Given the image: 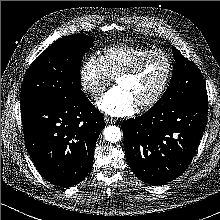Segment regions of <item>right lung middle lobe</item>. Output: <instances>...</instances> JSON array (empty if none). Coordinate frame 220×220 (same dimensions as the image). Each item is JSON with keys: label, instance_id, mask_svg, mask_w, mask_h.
I'll return each mask as SVG.
<instances>
[{"label": "right lung middle lobe", "instance_id": "1", "mask_svg": "<svg viewBox=\"0 0 220 220\" xmlns=\"http://www.w3.org/2000/svg\"><path fill=\"white\" fill-rule=\"evenodd\" d=\"M93 41L88 35L75 34L58 39L44 50L24 76L20 103L71 101L82 96L81 61Z\"/></svg>", "mask_w": 220, "mask_h": 220}]
</instances>
